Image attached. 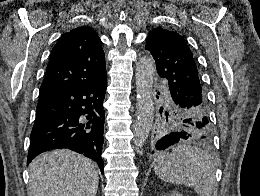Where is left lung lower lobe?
Segmentation results:
<instances>
[{
  "label": "left lung lower lobe",
  "mask_w": 260,
  "mask_h": 196,
  "mask_svg": "<svg viewBox=\"0 0 260 196\" xmlns=\"http://www.w3.org/2000/svg\"><path fill=\"white\" fill-rule=\"evenodd\" d=\"M187 136L183 132H172L165 135L156 145V150H164L169 146L178 143L185 139Z\"/></svg>",
  "instance_id": "obj_1"
}]
</instances>
